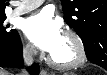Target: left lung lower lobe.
<instances>
[{
  "label": "left lung lower lobe",
  "instance_id": "0a47b994",
  "mask_svg": "<svg viewBox=\"0 0 107 75\" xmlns=\"http://www.w3.org/2000/svg\"><path fill=\"white\" fill-rule=\"evenodd\" d=\"M87 58L94 64H97L107 70V44L105 42L100 43L94 52L87 56Z\"/></svg>",
  "mask_w": 107,
  "mask_h": 75
}]
</instances>
